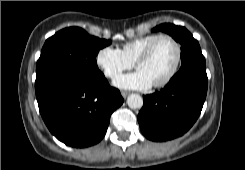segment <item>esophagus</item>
Here are the masks:
<instances>
[{"label":"esophagus","instance_id":"34e87169","mask_svg":"<svg viewBox=\"0 0 245 170\" xmlns=\"http://www.w3.org/2000/svg\"><path fill=\"white\" fill-rule=\"evenodd\" d=\"M128 94H129V93L126 92V91H122V92H121V95H122L123 98H126V97L128 96Z\"/></svg>","mask_w":245,"mask_h":170}]
</instances>
